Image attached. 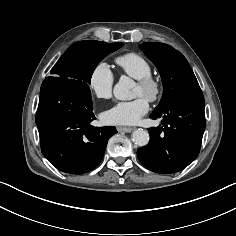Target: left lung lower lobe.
Here are the masks:
<instances>
[{"mask_svg":"<svg viewBox=\"0 0 236 236\" xmlns=\"http://www.w3.org/2000/svg\"><path fill=\"white\" fill-rule=\"evenodd\" d=\"M150 118L162 119V125L149 129V143L138 149L140 162L157 173H174L186 168L199 154L206 127L204 96L201 89L176 95Z\"/></svg>","mask_w":236,"mask_h":236,"instance_id":"1","label":"left lung lower lobe"}]
</instances>
